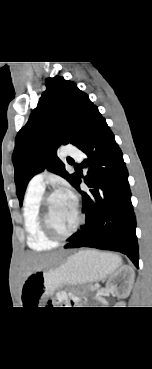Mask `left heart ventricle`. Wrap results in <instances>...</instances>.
<instances>
[{"label":"left heart ventricle","instance_id":"b2bd125f","mask_svg":"<svg viewBox=\"0 0 152 369\" xmlns=\"http://www.w3.org/2000/svg\"><path fill=\"white\" fill-rule=\"evenodd\" d=\"M50 217L57 232H69L77 220L75 204L60 193L54 195L50 200Z\"/></svg>","mask_w":152,"mask_h":369}]
</instances>
